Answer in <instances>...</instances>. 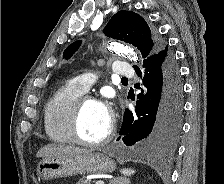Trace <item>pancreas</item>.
<instances>
[{"label":"pancreas","instance_id":"cf45deb5","mask_svg":"<svg viewBox=\"0 0 224 184\" xmlns=\"http://www.w3.org/2000/svg\"><path fill=\"white\" fill-rule=\"evenodd\" d=\"M77 184H91V180H83V179H80Z\"/></svg>","mask_w":224,"mask_h":184}]
</instances>
